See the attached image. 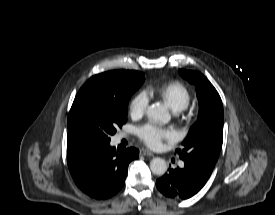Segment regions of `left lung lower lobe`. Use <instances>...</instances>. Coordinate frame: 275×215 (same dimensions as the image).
I'll list each match as a JSON object with an SVG mask.
<instances>
[{"label": "left lung lower lobe", "instance_id": "left-lung-lower-lobe-1", "mask_svg": "<svg viewBox=\"0 0 275 215\" xmlns=\"http://www.w3.org/2000/svg\"><path fill=\"white\" fill-rule=\"evenodd\" d=\"M211 171L187 164L183 168L171 169L156 181L158 190L172 199H188L206 184Z\"/></svg>", "mask_w": 275, "mask_h": 215}]
</instances>
